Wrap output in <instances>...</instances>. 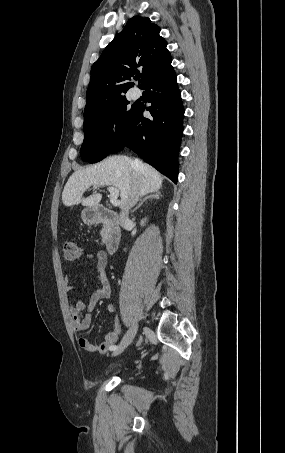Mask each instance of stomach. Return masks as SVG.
<instances>
[{"label": "stomach", "mask_w": 285, "mask_h": 453, "mask_svg": "<svg viewBox=\"0 0 285 453\" xmlns=\"http://www.w3.org/2000/svg\"><path fill=\"white\" fill-rule=\"evenodd\" d=\"M83 222L87 225H92L97 221V213L94 208H86L81 213Z\"/></svg>", "instance_id": "obj_1"}]
</instances>
